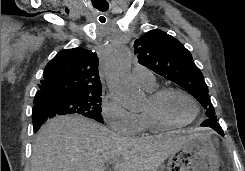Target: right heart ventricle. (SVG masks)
<instances>
[{"label":"right heart ventricle","instance_id":"right-heart-ventricle-1","mask_svg":"<svg viewBox=\"0 0 245 171\" xmlns=\"http://www.w3.org/2000/svg\"><path fill=\"white\" fill-rule=\"evenodd\" d=\"M144 89L147 92H153L156 89V85L151 88H145ZM140 121H141V131L139 133L145 134V133H156L159 132L162 128L158 127L149 117V115L146 113V111H143L140 115Z\"/></svg>","mask_w":245,"mask_h":171}]
</instances>
